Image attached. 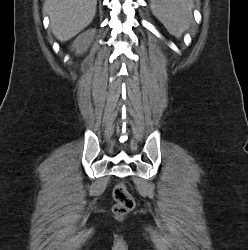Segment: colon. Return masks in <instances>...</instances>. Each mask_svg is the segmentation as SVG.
Segmentation results:
<instances>
[{
    "instance_id": "colon-1",
    "label": "colon",
    "mask_w": 248,
    "mask_h": 250,
    "mask_svg": "<svg viewBox=\"0 0 248 250\" xmlns=\"http://www.w3.org/2000/svg\"><path fill=\"white\" fill-rule=\"evenodd\" d=\"M113 198L115 204L113 206V214L117 217H124L129 214L135 205L132 195L123 183H118L113 189Z\"/></svg>"
}]
</instances>
